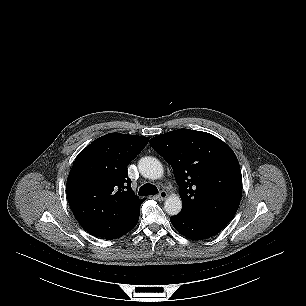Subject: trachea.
Listing matches in <instances>:
<instances>
[{
    "instance_id": "trachea-1",
    "label": "trachea",
    "mask_w": 306,
    "mask_h": 306,
    "mask_svg": "<svg viewBox=\"0 0 306 306\" xmlns=\"http://www.w3.org/2000/svg\"><path fill=\"white\" fill-rule=\"evenodd\" d=\"M158 193V189L156 186L146 183L139 189V195L146 196V195H155Z\"/></svg>"
}]
</instances>
